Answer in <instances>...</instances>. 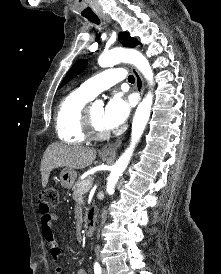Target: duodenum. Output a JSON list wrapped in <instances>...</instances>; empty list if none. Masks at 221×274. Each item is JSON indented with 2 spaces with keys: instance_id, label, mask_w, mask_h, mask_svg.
<instances>
[{
  "instance_id": "duodenum-1",
  "label": "duodenum",
  "mask_w": 221,
  "mask_h": 274,
  "mask_svg": "<svg viewBox=\"0 0 221 274\" xmlns=\"http://www.w3.org/2000/svg\"><path fill=\"white\" fill-rule=\"evenodd\" d=\"M95 226H96V219H95L93 212H91L88 215L87 220L83 227L84 234L86 236H91L94 233Z\"/></svg>"
}]
</instances>
